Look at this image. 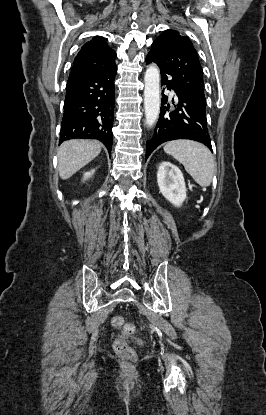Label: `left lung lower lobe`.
Segmentation results:
<instances>
[{
    "instance_id": "left-lung-lower-lobe-1",
    "label": "left lung lower lobe",
    "mask_w": 266,
    "mask_h": 415,
    "mask_svg": "<svg viewBox=\"0 0 266 415\" xmlns=\"http://www.w3.org/2000/svg\"><path fill=\"white\" fill-rule=\"evenodd\" d=\"M155 62L151 55H147L146 63ZM156 63V62H155ZM161 71V84L165 88L173 89L179 99L174 108L168 103V97L163 94L161 112L156 124L154 135L146 143V157L162 143L175 139H190L205 144L211 151V140L207 129L206 110L197 105L168 73ZM163 88V92L165 90Z\"/></svg>"
}]
</instances>
